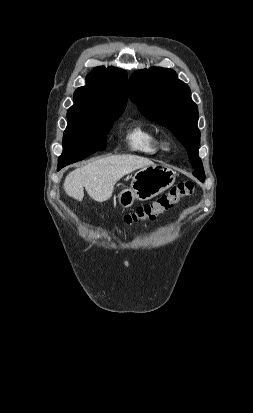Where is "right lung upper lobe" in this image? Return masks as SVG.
Returning a JSON list of instances; mask_svg holds the SVG:
<instances>
[{
  "label": "right lung upper lobe",
  "mask_w": 253,
  "mask_h": 413,
  "mask_svg": "<svg viewBox=\"0 0 253 413\" xmlns=\"http://www.w3.org/2000/svg\"><path fill=\"white\" fill-rule=\"evenodd\" d=\"M74 105L67 112L68 121L94 119L122 114L127 104V74L124 70L103 66L86 78V86L74 92Z\"/></svg>",
  "instance_id": "obj_1"
}]
</instances>
